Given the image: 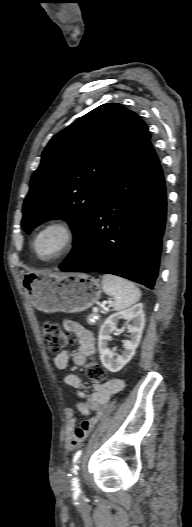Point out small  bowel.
<instances>
[{"instance_id":"small-bowel-1","label":"small bowel","mask_w":192,"mask_h":527,"mask_svg":"<svg viewBox=\"0 0 192 527\" xmlns=\"http://www.w3.org/2000/svg\"><path fill=\"white\" fill-rule=\"evenodd\" d=\"M65 329L73 332L78 339V349L70 354L67 351L59 352L55 358V366L60 370H65L72 362L76 366H83L89 356L95 352V343L93 333L84 328L78 322L70 319L63 321ZM64 382L76 390L81 401L77 404V410L85 416L90 415L93 411L100 412L108 403L110 397L120 391L124 384L120 379H110L102 384H96L91 394L83 392L84 381L74 373H69L64 377ZM66 423L64 442L68 450L76 448L87 436L89 431L97 422V417L84 421L79 427H76L75 410L68 408L65 411Z\"/></svg>"}]
</instances>
